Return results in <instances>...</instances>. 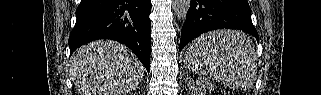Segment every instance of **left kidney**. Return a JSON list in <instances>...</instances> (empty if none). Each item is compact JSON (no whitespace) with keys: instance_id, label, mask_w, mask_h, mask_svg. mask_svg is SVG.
I'll use <instances>...</instances> for the list:
<instances>
[{"instance_id":"obj_1","label":"left kidney","mask_w":321,"mask_h":95,"mask_svg":"<svg viewBox=\"0 0 321 95\" xmlns=\"http://www.w3.org/2000/svg\"><path fill=\"white\" fill-rule=\"evenodd\" d=\"M208 89H210V88H205V87L198 88L196 90V95H205L206 90H208Z\"/></svg>"}]
</instances>
